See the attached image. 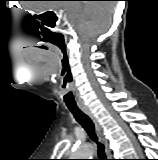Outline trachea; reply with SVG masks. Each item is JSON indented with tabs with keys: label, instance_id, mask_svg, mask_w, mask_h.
Here are the masks:
<instances>
[{
	"label": "trachea",
	"instance_id": "obj_1",
	"mask_svg": "<svg viewBox=\"0 0 158 160\" xmlns=\"http://www.w3.org/2000/svg\"><path fill=\"white\" fill-rule=\"evenodd\" d=\"M77 122L86 130L90 138L97 143L98 146V160H108L105 155L104 146L98 142V138L95 134V128L92 120L80 110L77 105H67Z\"/></svg>",
	"mask_w": 158,
	"mask_h": 160
}]
</instances>
